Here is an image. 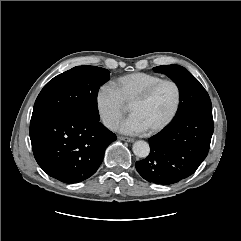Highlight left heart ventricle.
Masks as SVG:
<instances>
[{"mask_svg": "<svg viewBox=\"0 0 241 241\" xmlns=\"http://www.w3.org/2000/svg\"><path fill=\"white\" fill-rule=\"evenodd\" d=\"M176 101V91L171 84L160 86L151 98L143 104L130 108L151 129L162 123L171 113Z\"/></svg>", "mask_w": 241, "mask_h": 241, "instance_id": "obj_1", "label": "left heart ventricle"}]
</instances>
